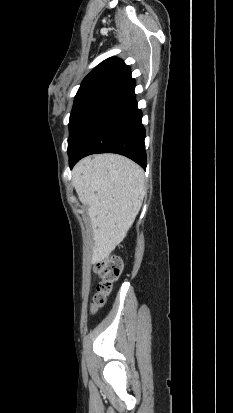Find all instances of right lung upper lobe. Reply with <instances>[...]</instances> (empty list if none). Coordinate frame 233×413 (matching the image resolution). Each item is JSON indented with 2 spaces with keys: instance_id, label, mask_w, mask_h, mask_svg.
Here are the masks:
<instances>
[{
  "instance_id": "right-lung-upper-lobe-1",
  "label": "right lung upper lobe",
  "mask_w": 233,
  "mask_h": 413,
  "mask_svg": "<svg viewBox=\"0 0 233 413\" xmlns=\"http://www.w3.org/2000/svg\"><path fill=\"white\" fill-rule=\"evenodd\" d=\"M130 73V67L121 59L112 57L101 62L94 68L82 81L81 86L99 80H118L119 78Z\"/></svg>"
}]
</instances>
